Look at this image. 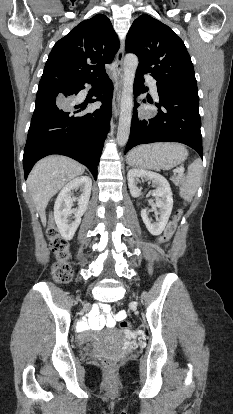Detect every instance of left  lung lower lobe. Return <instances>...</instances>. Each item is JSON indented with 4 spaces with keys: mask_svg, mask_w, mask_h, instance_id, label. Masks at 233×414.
Masks as SVG:
<instances>
[{
    "mask_svg": "<svg viewBox=\"0 0 233 414\" xmlns=\"http://www.w3.org/2000/svg\"><path fill=\"white\" fill-rule=\"evenodd\" d=\"M142 72L136 71L134 95L144 93ZM159 103H155L158 113L148 120H139L135 101L131 133L125 154L140 144L153 142H180L197 151L203 157L201 119L198 111L199 97L195 86H161L157 84ZM145 102V100H143ZM151 103V101H149Z\"/></svg>",
    "mask_w": 233,
    "mask_h": 414,
    "instance_id": "1",
    "label": "left lung lower lobe"
}]
</instances>
